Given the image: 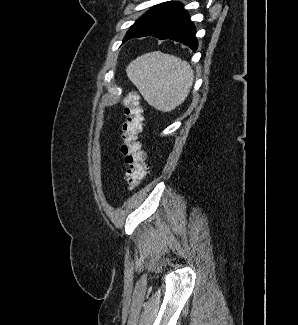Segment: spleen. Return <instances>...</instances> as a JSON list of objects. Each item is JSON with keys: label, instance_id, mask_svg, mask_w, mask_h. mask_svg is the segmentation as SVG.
Here are the masks:
<instances>
[{"label": "spleen", "instance_id": "obj_1", "mask_svg": "<svg viewBox=\"0 0 298 325\" xmlns=\"http://www.w3.org/2000/svg\"><path fill=\"white\" fill-rule=\"evenodd\" d=\"M125 70L148 104L162 112H170L184 102L194 78L187 60L161 50L137 56Z\"/></svg>", "mask_w": 298, "mask_h": 325}]
</instances>
